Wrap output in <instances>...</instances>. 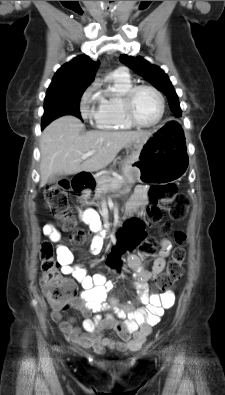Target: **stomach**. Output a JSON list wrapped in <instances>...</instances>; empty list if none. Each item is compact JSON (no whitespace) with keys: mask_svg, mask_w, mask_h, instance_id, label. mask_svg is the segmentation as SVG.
Returning a JSON list of instances; mask_svg holds the SVG:
<instances>
[{"mask_svg":"<svg viewBox=\"0 0 225 395\" xmlns=\"http://www.w3.org/2000/svg\"><path fill=\"white\" fill-rule=\"evenodd\" d=\"M157 133L144 143H134L132 153L123 166V174L129 183H161L180 180L184 175L183 164L170 158L160 146Z\"/></svg>","mask_w":225,"mask_h":395,"instance_id":"obj_1","label":"stomach"}]
</instances>
